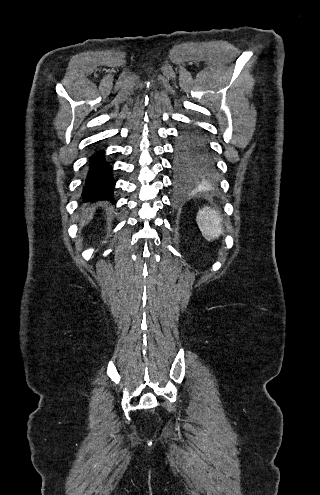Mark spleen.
Masks as SVG:
<instances>
[{
  "label": "spleen",
  "mask_w": 320,
  "mask_h": 495,
  "mask_svg": "<svg viewBox=\"0 0 320 495\" xmlns=\"http://www.w3.org/2000/svg\"><path fill=\"white\" fill-rule=\"evenodd\" d=\"M222 219L218 211L204 207L197 214L198 226L207 241L213 242L223 233Z\"/></svg>",
  "instance_id": "3e777b00"
}]
</instances>
